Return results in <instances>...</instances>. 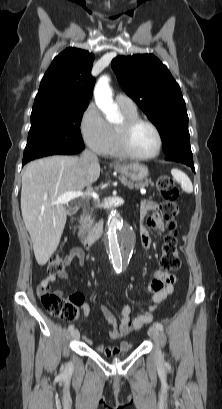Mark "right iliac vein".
Returning <instances> with one entry per match:
<instances>
[{
    "instance_id": "obj_1",
    "label": "right iliac vein",
    "mask_w": 222,
    "mask_h": 409,
    "mask_svg": "<svg viewBox=\"0 0 222 409\" xmlns=\"http://www.w3.org/2000/svg\"><path fill=\"white\" fill-rule=\"evenodd\" d=\"M71 337L73 339H78L79 338V332H78L77 329H74V330L71 331Z\"/></svg>"
}]
</instances>
